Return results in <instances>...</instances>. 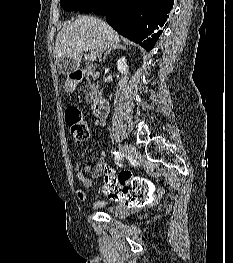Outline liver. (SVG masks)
I'll return each mask as SVG.
<instances>
[{
    "label": "liver",
    "instance_id": "liver-1",
    "mask_svg": "<svg viewBox=\"0 0 233 263\" xmlns=\"http://www.w3.org/2000/svg\"><path fill=\"white\" fill-rule=\"evenodd\" d=\"M119 41L118 33L106 22L92 16H82L59 31L55 58L56 61L66 59L64 71L69 73L78 67L82 59L83 48L76 46L78 42H85L90 54L100 58L107 47Z\"/></svg>",
    "mask_w": 233,
    "mask_h": 263
}]
</instances>
